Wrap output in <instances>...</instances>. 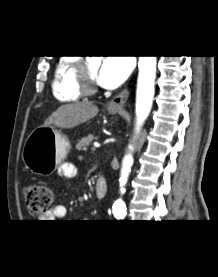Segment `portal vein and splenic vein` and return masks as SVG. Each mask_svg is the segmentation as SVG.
I'll use <instances>...</instances> for the list:
<instances>
[{"label":"portal vein and splenic vein","instance_id":"portal-vein-and-splenic-vein-1","mask_svg":"<svg viewBox=\"0 0 218 277\" xmlns=\"http://www.w3.org/2000/svg\"><path fill=\"white\" fill-rule=\"evenodd\" d=\"M91 150H92V151H95V150H96V146H93V147L91 148Z\"/></svg>","mask_w":218,"mask_h":277}]
</instances>
